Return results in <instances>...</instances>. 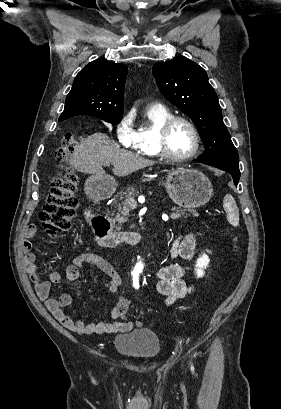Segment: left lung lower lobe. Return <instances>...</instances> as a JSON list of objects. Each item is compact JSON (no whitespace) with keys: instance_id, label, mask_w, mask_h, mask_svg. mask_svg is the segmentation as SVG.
Wrapping results in <instances>:
<instances>
[{"instance_id":"left-lung-lower-lobe-1","label":"left lung lower lobe","mask_w":281,"mask_h":409,"mask_svg":"<svg viewBox=\"0 0 281 409\" xmlns=\"http://www.w3.org/2000/svg\"><path fill=\"white\" fill-rule=\"evenodd\" d=\"M196 162H201L216 168H219L221 170L227 171L231 174L234 180V184L237 185L239 182L240 178V171H239V163L238 161H229V160H224V161H201V160H195Z\"/></svg>"}]
</instances>
